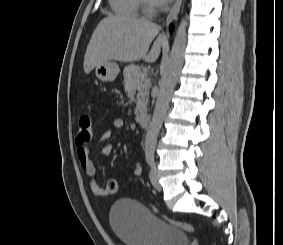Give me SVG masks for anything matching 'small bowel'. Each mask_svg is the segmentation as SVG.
<instances>
[{
	"label": "small bowel",
	"mask_w": 283,
	"mask_h": 245,
	"mask_svg": "<svg viewBox=\"0 0 283 245\" xmlns=\"http://www.w3.org/2000/svg\"><path fill=\"white\" fill-rule=\"evenodd\" d=\"M124 126H125L124 120L121 118H117L113 121V128L106 130L99 136L98 142L105 143L103 146V154L105 156H109L112 152V145L108 141L114 136L115 130L121 129ZM77 158L81 169L84 171V173L87 175L89 179V185L92 193L97 196L106 195L105 190L102 187H100V185L96 180V169L93 159L91 158L90 155V149L82 146L79 147L77 150ZM133 172L135 175H141L142 166L139 163H137L134 167Z\"/></svg>",
	"instance_id": "small-bowel-1"
}]
</instances>
